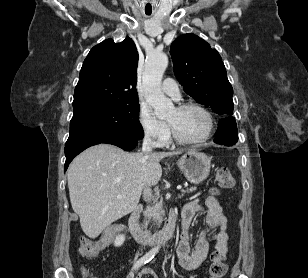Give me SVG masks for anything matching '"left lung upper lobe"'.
Instances as JSON below:
<instances>
[{
  "instance_id": "obj_1",
  "label": "left lung upper lobe",
  "mask_w": 308,
  "mask_h": 278,
  "mask_svg": "<svg viewBox=\"0 0 308 278\" xmlns=\"http://www.w3.org/2000/svg\"><path fill=\"white\" fill-rule=\"evenodd\" d=\"M174 73L184 91L219 115H233V88L217 50L194 34H184L170 48Z\"/></svg>"
}]
</instances>
